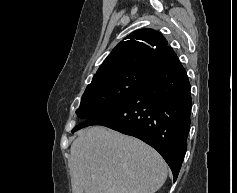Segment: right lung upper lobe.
Instances as JSON below:
<instances>
[{
    "label": "right lung upper lobe",
    "instance_id": "cb5924a9",
    "mask_svg": "<svg viewBox=\"0 0 237 193\" xmlns=\"http://www.w3.org/2000/svg\"><path fill=\"white\" fill-rule=\"evenodd\" d=\"M172 51L165 38L155 30H136L116 45L91 83L127 73H146L160 56Z\"/></svg>",
    "mask_w": 237,
    "mask_h": 193
}]
</instances>
